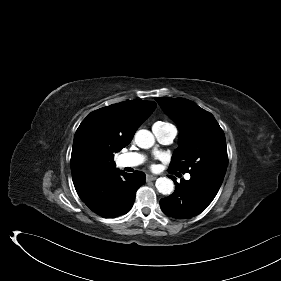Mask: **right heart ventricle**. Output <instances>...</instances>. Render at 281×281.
<instances>
[{"mask_svg":"<svg viewBox=\"0 0 281 281\" xmlns=\"http://www.w3.org/2000/svg\"><path fill=\"white\" fill-rule=\"evenodd\" d=\"M168 124H169V123H167V122L158 121V122H156L154 125L163 126V125H168Z\"/></svg>","mask_w":281,"mask_h":281,"instance_id":"1","label":"right heart ventricle"}]
</instances>
